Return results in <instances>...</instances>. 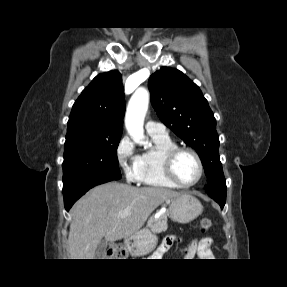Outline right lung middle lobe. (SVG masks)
Masks as SVG:
<instances>
[{"label":"right lung middle lobe","instance_id":"right-lung-middle-lobe-1","mask_svg":"<svg viewBox=\"0 0 287 287\" xmlns=\"http://www.w3.org/2000/svg\"><path fill=\"white\" fill-rule=\"evenodd\" d=\"M121 134H96L87 127L67 131L63 167V188L89 177L121 178L117 147Z\"/></svg>","mask_w":287,"mask_h":287}]
</instances>
